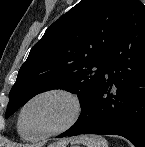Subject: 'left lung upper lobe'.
Wrapping results in <instances>:
<instances>
[{
  "label": "left lung upper lobe",
  "mask_w": 145,
  "mask_h": 147,
  "mask_svg": "<svg viewBox=\"0 0 145 147\" xmlns=\"http://www.w3.org/2000/svg\"><path fill=\"white\" fill-rule=\"evenodd\" d=\"M131 0H81L47 28L21 66L5 117L52 89L77 94L85 114L103 76ZM71 127V128H72Z\"/></svg>",
  "instance_id": "5c2ea615"
}]
</instances>
